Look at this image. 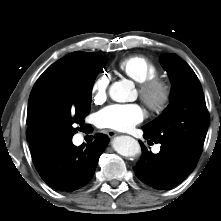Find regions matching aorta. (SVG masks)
<instances>
[{
	"mask_svg": "<svg viewBox=\"0 0 221 221\" xmlns=\"http://www.w3.org/2000/svg\"><path fill=\"white\" fill-rule=\"evenodd\" d=\"M134 85L131 81L115 82L109 90L110 97L116 102H127L132 99ZM113 148L122 156L135 157L141 154L139 143L130 136H119L113 140Z\"/></svg>",
	"mask_w": 221,
	"mask_h": 221,
	"instance_id": "aorta-1",
	"label": "aorta"
}]
</instances>
